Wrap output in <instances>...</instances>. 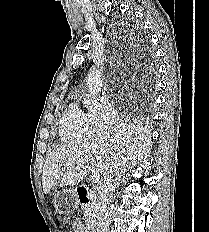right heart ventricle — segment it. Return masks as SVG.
Masks as SVG:
<instances>
[{
	"label": "right heart ventricle",
	"instance_id": "1",
	"mask_svg": "<svg viewBox=\"0 0 209 232\" xmlns=\"http://www.w3.org/2000/svg\"><path fill=\"white\" fill-rule=\"evenodd\" d=\"M59 134L65 143L89 138L93 134L88 113L71 102L62 115Z\"/></svg>",
	"mask_w": 209,
	"mask_h": 232
}]
</instances>
